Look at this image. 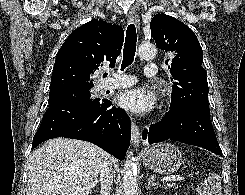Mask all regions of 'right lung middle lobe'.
I'll return each instance as SVG.
<instances>
[{"label": "right lung middle lobe", "instance_id": "right-lung-middle-lobe-1", "mask_svg": "<svg viewBox=\"0 0 245 195\" xmlns=\"http://www.w3.org/2000/svg\"><path fill=\"white\" fill-rule=\"evenodd\" d=\"M90 89L91 87H79L49 94V106L64 102L90 99Z\"/></svg>", "mask_w": 245, "mask_h": 195}]
</instances>
